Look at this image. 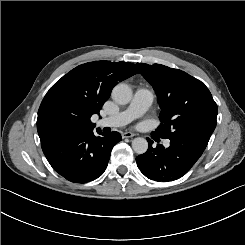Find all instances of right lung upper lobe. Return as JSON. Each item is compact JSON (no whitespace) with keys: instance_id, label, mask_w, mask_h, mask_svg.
Segmentation results:
<instances>
[{"instance_id":"cb5924a9","label":"right lung upper lobe","mask_w":245,"mask_h":245,"mask_svg":"<svg viewBox=\"0 0 245 245\" xmlns=\"http://www.w3.org/2000/svg\"><path fill=\"white\" fill-rule=\"evenodd\" d=\"M138 73L130 62L110 61L89 62L71 70L50 88L40 105L37 131L41 143L70 133L63 116L99 114L113 87Z\"/></svg>"}]
</instances>
